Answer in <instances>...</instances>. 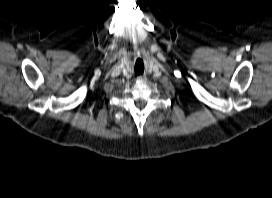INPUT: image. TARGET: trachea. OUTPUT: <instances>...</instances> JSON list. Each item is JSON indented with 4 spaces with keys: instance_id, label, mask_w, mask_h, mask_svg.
I'll return each instance as SVG.
<instances>
[{
    "instance_id": "3493384b",
    "label": "trachea",
    "mask_w": 272,
    "mask_h": 198,
    "mask_svg": "<svg viewBox=\"0 0 272 198\" xmlns=\"http://www.w3.org/2000/svg\"><path fill=\"white\" fill-rule=\"evenodd\" d=\"M143 72H144L143 65L142 64L140 65V64L136 63V65H135V73H136V75H142Z\"/></svg>"
}]
</instances>
